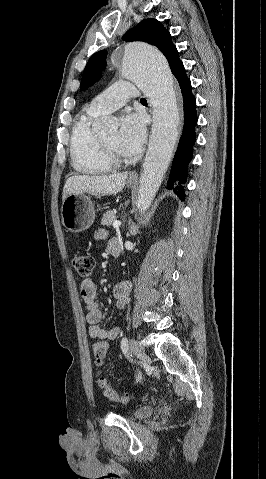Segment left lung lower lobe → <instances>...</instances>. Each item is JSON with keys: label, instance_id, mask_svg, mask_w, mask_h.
Returning a JSON list of instances; mask_svg holds the SVG:
<instances>
[{"label": "left lung lower lobe", "instance_id": "obj_1", "mask_svg": "<svg viewBox=\"0 0 266 479\" xmlns=\"http://www.w3.org/2000/svg\"><path fill=\"white\" fill-rule=\"evenodd\" d=\"M181 88L184 102V127L181 135L177 151L171 165L168 189L173 191L184 200L185 193L182 184L187 179V166L192 159L193 145L196 141L195 125L197 123L196 99L191 90V82L188 79L182 62L172 72Z\"/></svg>", "mask_w": 266, "mask_h": 479}]
</instances>
